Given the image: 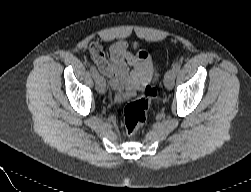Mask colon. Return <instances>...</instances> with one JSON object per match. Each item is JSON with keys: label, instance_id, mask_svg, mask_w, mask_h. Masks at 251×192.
<instances>
[{"label": "colon", "instance_id": "colon-1", "mask_svg": "<svg viewBox=\"0 0 251 192\" xmlns=\"http://www.w3.org/2000/svg\"><path fill=\"white\" fill-rule=\"evenodd\" d=\"M156 95V89L146 85L141 89L140 96L126 105L124 109V128L128 136L135 135L143 127L150 102Z\"/></svg>", "mask_w": 251, "mask_h": 192}]
</instances>
